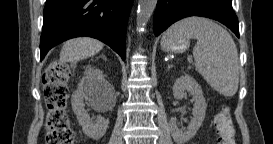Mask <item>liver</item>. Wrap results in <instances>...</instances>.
<instances>
[{"label":"liver","mask_w":273,"mask_h":144,"mask_svg":"<svg viewBox=\"0 0 273 144\" xmlns=\"http://www.w3.org/2000/svg\"><path fill=\"white\" fill-rule=\"evenodd\" d=\"M103 47L104 44L101 41L90 37H79L68 40L62 47L60 62L71 63L80 61L99 53Z\"/></svg>","instance_id":"1"}]
</instances>
